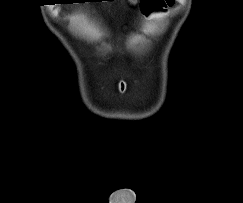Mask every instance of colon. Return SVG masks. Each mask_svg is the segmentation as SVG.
I'll return each instance as SVG.
<instances>
[{"instance_id":"1","label":"colon","mask_w":243,"mask_h":203,"mask_svg":"<svg viewBox=\"0 0 243 203\" xmlns=\"http://www.w3.org/2000/svg\"><path fill=\"white\" fill-rule=\"evenodd\" d=\"M174 0H141V9L146 16L159 14L172 6Z\"/></svg>"}]
</instances>
